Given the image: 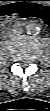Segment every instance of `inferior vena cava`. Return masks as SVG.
I'll list each match as a JSON object with an SVG mask.
<instances>
[{
	"instance_id": "602c4592",
	"label": "inferior vena cava",
	"mask_w": 50,
	"mask_h": 111,
	"mask_svg": "<svg viewBox=\"0 0 50 111\" xmlns=\"http://www.w3.org/2000/svg\"><path fill=\"white\" fill-rule=\"evenodd\" d=\"M22 33H23L22 28H14V29L11 30V35L12 36L20 35Z\"/></svg>"
}]
</instances>
